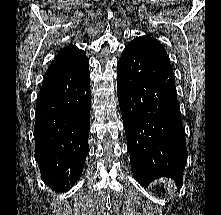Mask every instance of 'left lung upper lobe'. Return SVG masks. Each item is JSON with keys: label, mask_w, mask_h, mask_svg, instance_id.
<instances>
[{"label": "left lung upper lobe", "mask_w": 221, "mask_h": 215, "mask_svg": "<svg viewBox=\"0 0 221 215\" xmlns=\"http://www.w3.org/2000/svg\"><path fill=\"white\" fill-rule=\"evenodd\" d=\"M130 44L137 45L142 49L150 52L161 62L171 67L168 55L164 49V47L154 38L150 36H140L130 42ZM172 68V67H171Z\"/></svg>", "instance_id": "left-lung-upper-lobe-1"}]
</instances>
